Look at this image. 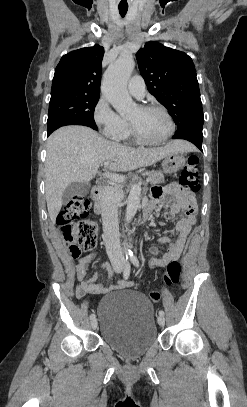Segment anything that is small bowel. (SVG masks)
<instances>
[{
  "label": "small bowel",
  "mask_w": 247,
  "mask_h": 407,
  "mask_svg": "<svg viewBox=\"0 0 247 407\" xmlns=\"http://www.w3.org/2000/svg\"><path fill=\"white\" fill-rule=\"evenodd\" d=\"M164 200H170L173 202L169 210L165 213L167 218L175 219L178 217L180 212H184L185 216L178 218L176 222V239L163 252L161 258L155 259L150 263L151 268L164 267L171 261H177L179 259L184 250L192 226L196 222V208L194 199L191 194L181 190L177 184L173 183L163 188L156 187L152 190L150 201L152 207H155L157 203ZM170 241L171 238L168 236L160 238L157 247L154 248L153 251L156 252L158 248L163 247ZM93 259L94 254L89 253L85 257L81 258L74 267L75 276L79 281V285L76 287L77 297H83L88 294H102L115 288V286H106L95 283L98 278L97 272L91 278L86 277V270L89 268ZM129 285H133V282L121 281L118 283L117 287Z\"/></svg>",
  "instance_id": "c3829d8e"
}]
</instances>
